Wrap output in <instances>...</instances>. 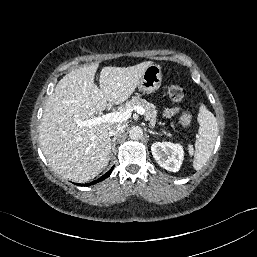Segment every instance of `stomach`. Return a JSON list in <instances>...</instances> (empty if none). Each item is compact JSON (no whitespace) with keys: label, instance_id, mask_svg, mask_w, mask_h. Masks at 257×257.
<instances>
[{"label":"stomach","instance_id":"0dacf381","mask_svg":"<svg viewBox=\"0 0 257 257\" xmlns=\"http://www.w3.org/2000/svg\"><path fill=\"white\" fill-rule=\"evenodd\" d=\"M162 81V72L160 65L152 64L144 71L139 84V91L152 93L159 89Z\"/></svg>","mask_w":257,"mask_h":257}]
</instances>
